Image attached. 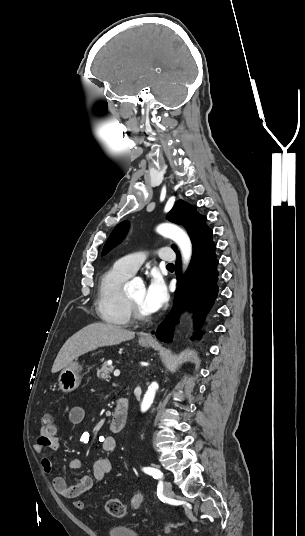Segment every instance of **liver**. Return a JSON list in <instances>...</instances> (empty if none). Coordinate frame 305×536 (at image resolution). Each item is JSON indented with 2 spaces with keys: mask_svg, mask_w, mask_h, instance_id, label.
Listing matches in <instances>:
<instances>
[{
  "mask_svg": "<svg viewBox=\"0 0 305 536\" xmlns=\"http://www.w3.org/2000/svg\"><path fill=\"white\" fill-rule=\"evenodd\" d=\"M134 334L135 332L123 330L121 326H113V324H90V326L82 328L65 342L52 366L51 372L56 374V372L66 368L68 364H71L73 360H76L82 354H87V352H92L97 348L116 346L121 342L133 340L135 338Z\"/></svg>",
  "mask_w": 305,
  "mask_h": 536,
  "instance_id": "liver-1",
  "label": "liver"
}]
</instances>
